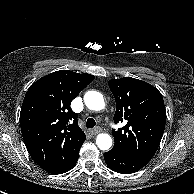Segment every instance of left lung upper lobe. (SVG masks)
<instances>
[{
  "label": "left lung upper lobe",
  "mask_w": 194,
  "mask_h": 194,
  "mask_svg": "<svg viewBox=\"0 0 194 194\" xmlns=\"http://www.w3.org/2000/svg\"><path fill=\"white\" fill-rule=\"evenodd\" d=\"M116 100L115 123L125 126L112 130V149L148 163L158 149L166 123V109L159 90L135 78L109 81Z\"/></svg>",
  "instance_id": "1"
}]
</instances>
